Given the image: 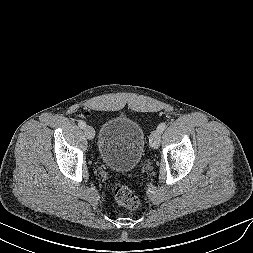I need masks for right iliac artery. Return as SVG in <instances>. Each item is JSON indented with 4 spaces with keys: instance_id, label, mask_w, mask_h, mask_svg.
<instances>
[{
    "instance_id": "1",
    "label": "right iliac artery",
    "mask_w": 253,
    "mask_h": 253,
    "mask_svg": "<svg viewBox=\"0 0 253 253\" xmlns=\"http://www.w3.org/2000/svg\"><path fill=\"white\" fill-rule=\"evenodd\" d=\"M78 126L81 128V129H84L86 127V123L84 121H79L78 122Z\"/></svg>"
}]
</instances>
